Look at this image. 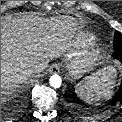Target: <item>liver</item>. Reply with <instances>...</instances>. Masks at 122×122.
I'll use <instances>...</instances> for the list:
<instances>
[{"mask_svg": "<svg viewBox=\"0 0 122 122\" xmlns=\"http://www.w3.org/2000/svg\"><path fill=\"white\" fill-rule=\"evenodd\" d=\"M76 25L71 17L20 14L1 18V95L12 94L25 83L37 63L64 55Z\"/></svg>", "mask_w": 122, "mask_h": 122, "instance_id": "6515ba94", "label": "liver"}]
</instances>
